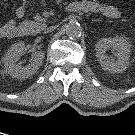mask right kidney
<instances>
[{
	"label": "right kidney",
	"mask_w": 135,
	"mask_h": 135,
	"mask_svg": "<svg viewBox=\"0 0 135 135\" xmlns=\"http://www.w3.org/2000/svg\"><path fill=\"white\" fill-rule=\"evenodd\" d=\"M25 52L24 42H18L14 44L5 54L2 59L4 64L5 73L9 74L13 78L25 79L32 76L37 72L44 59L43 51H34L32 53V59L30 64L22 66L21 63H17L20 56Z\"/></svg>",
	"instance_id": "1"
}]
</instances>
